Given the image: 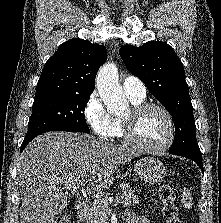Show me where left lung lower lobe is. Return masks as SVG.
I'll list each match as a JSON object with an SVG mask.
<instances>
[{"mask_svg":"<svg viewBox=\"0 0 221 223\" xmlns=\"http://www.w3.org/2000/svg\"><path fill=\"white\" fill-rule=\"evenodd\" d=\"M169 153L192 159L194 162L197 163V165L203 171L202 155L200 151H178V152L169 151Z\"/></svg>","mask_w":221,"mask_h":223,"instance_id":"left-lung-lower-lobe-1","label":"left lung lower lobe"}]
</instances>
